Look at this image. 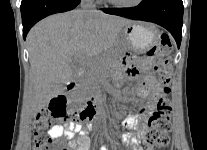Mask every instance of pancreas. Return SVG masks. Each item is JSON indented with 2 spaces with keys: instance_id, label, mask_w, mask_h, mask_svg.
<instances>
[{
  "instance_id": "obj_1",
  "label": "pancreas",
  "mask_w": 207,
  "mask_h": 150,
  "mask_svg": "<svg viewBox=\"0 0 207 150\" xmlns=\"http://www.w3.org/2000/svg\"><path fill=\"white\" fill-rule=\"evenodd\" d=\"M116 55L109 54L97 58L91 63L90 68L81 82V88L87 92H92L100 84V79L105 74L106 70L113 66V61Z\"/></svg>"
}]
</instances>
